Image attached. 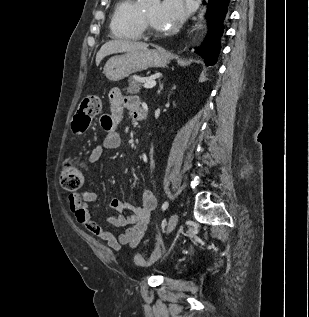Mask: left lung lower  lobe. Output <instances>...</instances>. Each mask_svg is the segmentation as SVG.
I'll return each mask as SVG.
<instances>
[{
  "label": "left lung lower lobe",
  "instance_id": "obj_1",
  "mask_svg": "<svg viewBox=\"0 0 309 317\" xmlns=\"http://www.w3.org/2000/svg\"><path fill=\"white\" fill-rule=\"evenodd\" d=\"M231 0H210L207 11L208 32L196 52L204 59L206 66L215 65L220 52V39L229 15Z\"/></svg>",
  "mask_w": 309,
  "mask_h": 317
}]
</instances>
